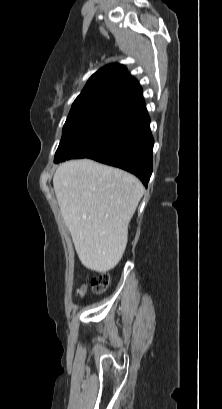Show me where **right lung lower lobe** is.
<instances>
[{"label": "right lung lower lobe", "mask_w": 222, "mask_h": 409, "mask_svg": "<svg viewBox=\"0 0 222 409\" xmlns=\"http://www.w3.org/2000/svg\"><path fill=\"white\" fill-rule=\"evenodd\" d=\"M149 124L145 103L125 110L101 145L86 158L129 171L147 187L153 169L154 144Z\"/></svg>", "instance_id": "right-lung-lower-lobe-1"}]
</instances>
